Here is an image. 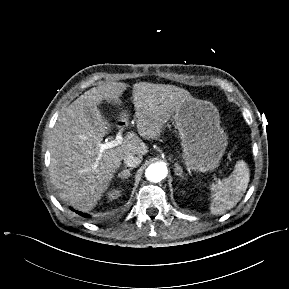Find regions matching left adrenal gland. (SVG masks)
I'll list each match as a JSON object with an SVG mask.
<instances>
[{
  "instance_id": "a2214340",
  "label": "left adrenal gland",
  "mask_w": 289,
  "mask_h": 289,
  "mask_svg": "<svg viewBox=\"0 0 289 289\" xmlns=\"http://www.w3.org/2000/svg\"><path fill=\"white\" fill-rule=\"evenodd\" d=\"M174 165H175V169H174L175 174H176L177 176L181 177V179H184V176L182 175V173H183L182 168L179 166L178 163H175Z\"/></svg>"
}]
</instances>
